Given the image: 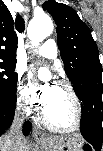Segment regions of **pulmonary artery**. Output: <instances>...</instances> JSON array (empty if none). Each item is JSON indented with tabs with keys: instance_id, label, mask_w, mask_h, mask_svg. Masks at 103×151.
Segmentation results:
<instances>
[{
	"instance_id": "e3ab8cb5",
	"label": "pulmonary artery",
	"mask_w": 103,
	"mask_h": 151,
	"mask_svg": "<svg viewBox=\"0 0 103 151\" xmlns=\"http://www.w3.org/2000/svg\"><path fill=\"white\" fill-rule=\"evenodd\" d=\"M33 53L48 59H55L58 56L57 44L53 39H48Z\"/></svg>"
}]
</instances>
